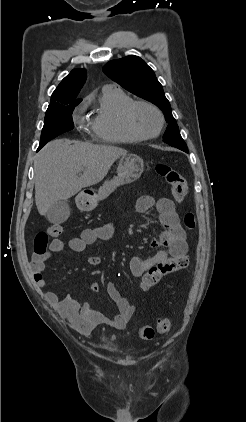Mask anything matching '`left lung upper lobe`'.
<instances>
[{
  "label": "left lung upper lobe",
  "instance_id": "1",
  "mask_svg": "<svg viewBox=\"0 0 246 422\" xmlns=\"http://www.w3.org/2000/svg\"><path fill=\"white\" fill-rule=\"evenodd\" d=\"M103 71L109 78L129 92L157 105L169 123L163 136V141L188 152L162 85L156 79L153 70L140 57L129 55L118 60L109 61L103 67Z\"/></svg>",
  "mask_w": 246,
  "mask_h": 422
}]
</instances>
